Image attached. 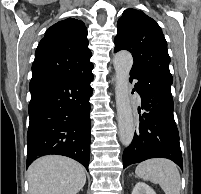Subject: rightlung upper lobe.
I'll use <instances>...</instances> for the list:
<instances>
[{
    "instance_id": "right-lung-upper-lobe-1",
    "label": "right lung upper lobe",
    "mask_w": 201,
    "mask_h": 194,
    "mask_svg": "<svg viewBox=\"0 0 201 194\" xmlns=\"http://www.w3.org/2000/svg\"><path fill=\"white\" fill-rule=\"evenodd\" d=\"M87 28L75 18L52 25L40 41L32 65V79L71 78L93 68L89 61Z\"/></svg>"
}]
</instances>
